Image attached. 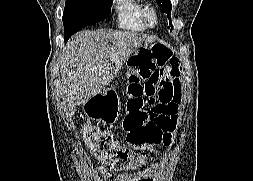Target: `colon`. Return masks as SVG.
Listing matches in <instances>:
<instances>
[{
    "mask_svg": "<svg viewBox=\"0 0 253 181\" xmlns=\"http://www.w3.org/2000/svg\"><path fill=\"white\" fill-rule=\"evenodd\" d=\"M139 53H149L159 65L178 69L172 50H169L166 44H162V41H153L151 48H139ZM125 95L126 115L122 127L129 145L151 148L169 144L171 131L176 123V118L169 113V97L161 93H146L140 82V76L134 71L129 73ZM83 137L101 163L108 168L121 170L135 168L143 163L141 157H133L126 146L99 128L85 126Z\"/></svg>",
    "mask_w": 253,
    "mask_h": 181,
    "instance_id": "obj_1",
    "label": "colon"
}]
</instances>
